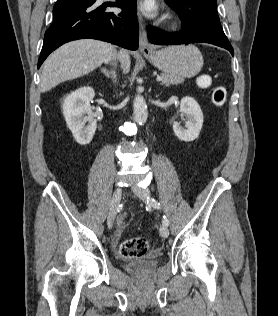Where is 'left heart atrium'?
I'll return each mask as SVG.
<instances>
[{"label": "left heart atrium", "instance_id": "left-heart-atrium-1", "mask_svg": "<svg viewBox=\"0 0 278 316\" xmlns=\"http://www.w3.org/2000/svg\"><path fill=\"white\" fill-rule=\"evenodd\" d=\"M144 11L146 14L153 16L156 13V5L153 0H146L144 4Z\"/></svg>", "mask_w": 278, "mask_h": 316}]
</instances>
